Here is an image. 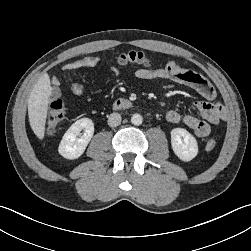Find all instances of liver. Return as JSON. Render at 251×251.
<instances>
[{
    "mask_svg": "<svg viewBox=\"0 0 251 251\" xmlns=\"http://www.w3.org/2000/svg\"><path fill=\"white\" fill-rule=\"evenodd\" d=\"M52 95L50 77L44 73L34 85L28 98V116L34 134L42 140L45 136V125L48 104Z\"/></svg>",
    "mask_w": 251,
    "mask_h": 251,
    "instance_id": "6515ba94",
    "label": "liver"
}]
</instances>
